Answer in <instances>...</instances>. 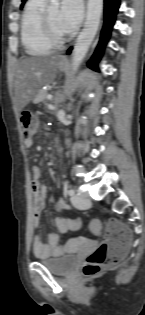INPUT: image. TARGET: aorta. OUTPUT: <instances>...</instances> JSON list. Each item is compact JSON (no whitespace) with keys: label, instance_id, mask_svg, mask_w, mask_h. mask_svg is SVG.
Listing matches in <instances>:
<instances>
[{"label":"aorta","instance_id":"obj_1","mask_svg":"<svg viewBox=\"0 0 145 315\" xmlns=\"http://www.w3.org/2000/svg\"><path fill=\"white\" fill-rule=\"evenodd\" d=\"M58 0H50V9H58ZM103 0H88L84 28L79 34L72 53V69L77 71L91 45L100 24Z\"/></svg>","mask_w":145,"mask_h":315}]
</instances>
